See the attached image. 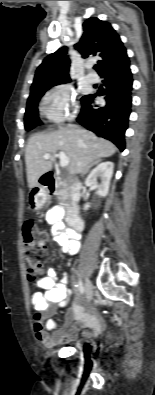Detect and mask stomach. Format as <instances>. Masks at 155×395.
<instances>
[{"mask_svg": "<svg viewBox=\"0 0 155 395\" xmlns=\"http://www.w3.org/2000/svg\"><path fill=\"white\" fill-rule=\"evenodd\" d=\"M48 197L46 190L40 186L33 187L28 195V202L32 208L38 209L44 205Z\"/></svg>", "mask_w": 155, "mask_h": 395, "instance_id": "obj_1", "label": "stomach"}]
</instances>
